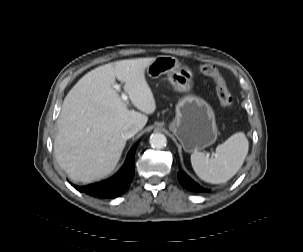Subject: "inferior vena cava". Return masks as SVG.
<instances>
[{
  "label": "inferior vena cava",
  "instance_id": "1",
  "mask_svg": "<svg viewBox=\"0 0 303 252\" xmlns=\"http://www.w3.org/2000/svg\"><path fill=\"white\" fill-rule=\"evenodd\" d=\"M138 130L139 128L135 125H126L121 130V136L127 140L133 137L138 132Z\"/></svg>",
  "mask_w": 303,
  "mask_h": 252
}]
</instances>
